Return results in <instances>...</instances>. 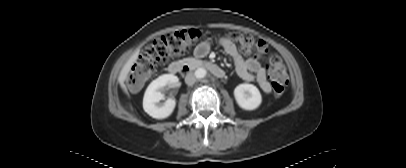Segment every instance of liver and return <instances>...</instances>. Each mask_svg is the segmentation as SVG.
Wrapping results in <instances>:
<instances>
[{
	"mask_svg": "<svg viewBox=\"0 0 406 168\" xmlns=\"http://www.w3.org/2000/svg\"><path fill=\"white\" fill-rule=\"evenodd\" d=\"M137 58H138V52L134 53V54L128 59V61H127V62L125 63V65L123 66V68H122V70H121V72H120V74H119V77H118V82H119V84H120L122 90H123L126 94H128V92H127V88H126L124 82L126 81V79H127V77H128V74H129V72H130V70H131V67H132L133 64L136 62Z\"/></svg>",
	"mask_w": 406,
	"mask_h": 168,
	"instance_id": "1",
	"label": "liver"
}]
</instances>
